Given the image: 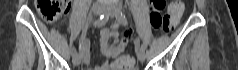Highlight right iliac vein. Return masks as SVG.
I'll use <instances>...</instances> for the list:
<instances>
[{"label": "right iliac vein", "instance_id": "right-iliac-vein-1", "mask_svg": "<svg viewBox=\"0 0 238 70\" xmlns=\"http://www.w3.org/2000/svg\"><path fill=\"white\" fill-rule=\"evenodd\" d=\"M102 11H103V7L99 4H94L91 7V13L93 15H99ZM72 61H73L74 65H76V66L80 65V63L82 61L81 55L80 54L73 55Z\"/></svg>", "mask_w": 238, "mask_h": 70}]
</instances>
